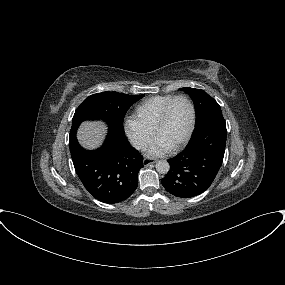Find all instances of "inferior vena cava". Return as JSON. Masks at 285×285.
Wrapping results in <instances>:
<instances>
[{
	"mask_svg": "<svg viewBox=\"0 0 285 285\" xmlns=\"http://www.w3.org/2000/svg\"><path fill=\"white\" fill-rule=\"evenodd\" d=\"M133 147H135L138 150H146L147 149V144L144 140L141 139H135L132 142Z\"/></svg>",
	"mask_w": 285,
	"mask_h": 285,
	"instance_id": "1",
	"label": "inferior vena cava"
}]
</instances>
